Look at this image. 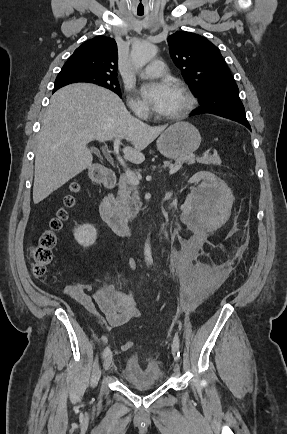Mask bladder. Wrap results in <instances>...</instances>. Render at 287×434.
Here are the masks:
<instances>
[{"instance_id": "31cf9c89", "label": "bladder", "mask_w": 287, "mask_h": 434, "mask_svg": "<svg viewBox=\"0 0 287 434\" xmlns=\"http://www.w3.org/2000/svg\"><path fill=\"white\" fill-rule=\"evenodd\" d=\"M122 381L131 387H153L162 383L163 373L156 360H148L144 363L137 357H131L120 372Z\"/></svg>"}]
</instances>
